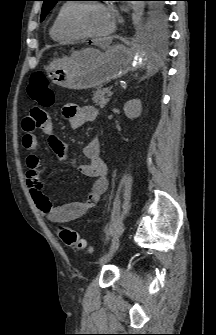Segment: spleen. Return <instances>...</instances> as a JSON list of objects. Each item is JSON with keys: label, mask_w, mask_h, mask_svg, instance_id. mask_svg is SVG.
Returning <instances> with one entry per match:
<instances>
[{"label": "spleen", "mask_w": 216, "mask_h": 335, "mask_svg": "<svg viewBox=\"0 0 216 335\" xmlns=\"http://www.w3.org/2000/svg\"><path fill=\"white\" fill-rule=\"evenodd\" d=\"M147 71L149 75H153L157 71V66L154 60L149 59L147 61Z\"/></svg>", "instance_id": "spleen-1"}]
</instances>
